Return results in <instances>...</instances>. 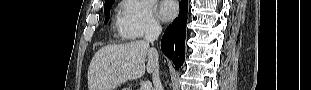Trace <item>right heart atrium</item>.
<instances>
[{
    "instance_id": "d8ad5b80",
    "label": "right heart atrium",
    "mask_w": 311,
    "mask_h": 90,
    "mask_svg": "<svg viewBox=\"0 0 311 90\" xmlns=\"http://www.w3.org/2000/svg\"><path fill=\"white\" fill-rule=\"evenodd\" d=\"M161 23L148 0H123L117 18V31L126 40H136L157 33Z\"/></svg>"
}]
</instances>
